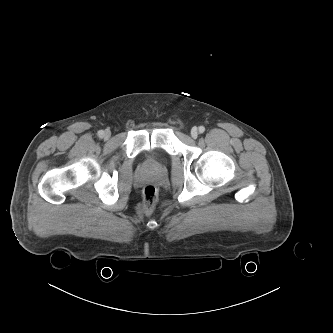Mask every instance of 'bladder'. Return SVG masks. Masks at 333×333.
Wrapping results in <instances>:
<instances>
[{"instance_id": "1", "label": "bladder", "mask_w": 333, "mask_h": 333, "mask_svg": "<svg viewBox=\"0 0 333 333\" xmlns=\"http://www.w3.org/2000/svg\"><path fill=\"white\" fill-rule=\"evenodd\" d=\"M164 157V154L160 151H156L154 153L151 154L150 158H149V162L150 163H157L159 161H161Z\"/></svg>"}]
</instances>
